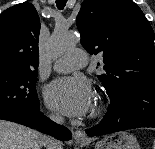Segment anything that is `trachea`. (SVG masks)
Listing matches in <instances>:
<instances>
[{"label":"trachea","mask_w":155,"mask_h":149,"mask_svg":"<svg viewBox=\"0 0 155 149\" xmlns=\"http://www.w3.org/2000/svg\"><path fill=\"white\" fill-rule=\"evenodd\" d=\"M67 0H56V5L58 9H63L66 5Z\"/></svg>","instance_id":"3493384b"}]
</instances>
